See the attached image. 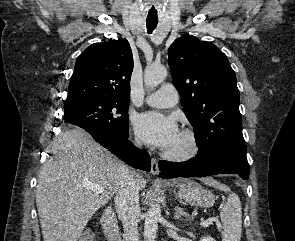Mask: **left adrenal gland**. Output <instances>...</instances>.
Wrapping results in <instances>:
<instances>
[{
	"label": "left adrenal gland",
	"instance_id": "left-adrenal-gland-1",
	"mask_svg": "<svg viewBox=\"0 0 295 241\" xmlns=\"http://www.w3.org/2000/svg\"><path fill=\"white\" fill-rule=\"evenodd\" d=\"M181 217H185L188 219H191L190 215L187 214L185 211H183V208L176 206L175 207V213H174V219L179 220Z\"/></svg>",
	"mask_w": 295,
	"mask_h": 241
}]
</instances>
